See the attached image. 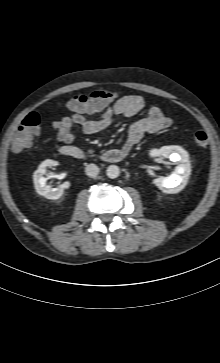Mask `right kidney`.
I'll return each instance as SVG.
<instances>
[{
  "instance_id": "1",
  "label": "right kidney",
  "mask_w": 220,
  "mask_h": 363,
  "mask_svg": "<svg viewBox=\"0 0 220 363\" xmlns=\"http://www.w3.org/2000/svg\"><path fill=\"white\" fill-rule=\"evenodd\" d=\"M58 164L59 162L55 160H45L38 166V169L33 174L35 190L39 195H42L45 198L53 200L59 199L63 195L64 190L70 187L69 181L64 182L57 188H52L51 185L46 183L44 175L47 167L57 166Z\"/></svg>"
}]
</instances>
